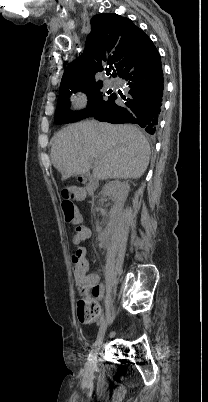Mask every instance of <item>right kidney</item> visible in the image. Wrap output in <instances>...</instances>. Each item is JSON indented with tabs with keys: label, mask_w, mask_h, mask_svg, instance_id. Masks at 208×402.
<instances>
[{
	"label": "right kidney",
	"mask_w": 208,
	"mask_h": 402,
	"mask_svg": "<svg viewBox=\"0 0 208 402\" xmlns=\"http://www.w3.org/2000/svg\"><path fill=\"white\" fill-rule=\"evenodd\" d=\"M130 186L128 182H119V180H114V182H109V184H105L102 190V196H111L112 200L115 202V206H113L112 210H110V216H121L124 208V204L127 200V196L129 194ZM111 232H104V236L100 238V240H105V238H109Z\"/></svg>",
	"instance_id": "ca27d5eb"
}]
</instances>
